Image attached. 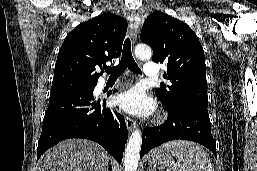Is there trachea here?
Segmentation results:
<instances>
[{"instance_id":"obj_1","label":"trachea","mask_w":257,"mask_h":171,"mask_svg":"<svg viewBox=\"0 0 257 171\" xmlns=\"http://www.w3.org/2000/svg\"><path fill=\"white\" fill-rule=\"evenodd\" d=\"M136 74H141V70L136 64L131 53V41L127 38L123 45L122 57L119 64L115 67L105 68L110 77H119L126 69Z\"/></svg>"}]
</instances>
